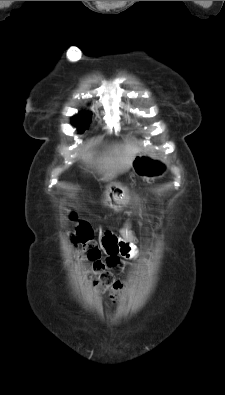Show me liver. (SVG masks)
Returning a JSON list of instances; mask_svg holds the SVG:
<instances>
[{"instance_id":"6515ba94","label":"liver","mask_w":225,"mask_h":395,"mask_svg":"<svg viewBox=\"0 0 225 395\" xmlns=\"http://www.w3.org/2000/svg\"><path fill=\"white\" fill-rule=\"evenodd\" d=\"M139 151L140 148L137 146L122 144L113 146L100 156H97L95 152L88 151L83 154L82 159L100 170L104 179L111 180L118 173H123L131 167Z\"/></svg>"}]
</instances>
